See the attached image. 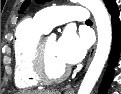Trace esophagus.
<instances>
[{
	"mask_svg": "<svg viewBox=\"0 0 121 94\" xmlns=\"http://www.w3.org/2000/svg\"><path fill=\"white\" fill-rule=\"evenodd\" d=\"M90 60H91V57L89 58L88 63L90 62ZM65 94H74V88H68V89L65 91Z\"/></svg>",
	"mask_w": 121,
	"mask_h": 94,
	"instance_id": "esophagus-1",
	"label": "esophagus"
}]
</instances>
